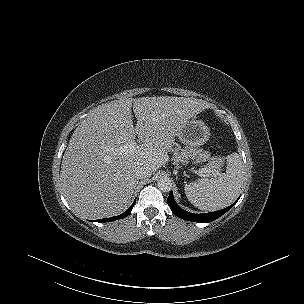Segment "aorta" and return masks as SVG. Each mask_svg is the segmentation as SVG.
Here are the masks:
<instances>
[{
	"label": "aorta",
	"instance_id": "1",
	"mask_svg": "<svg viewBox=\"0 0 304 304\" xmlns=\"http://www.w3.org/2000/svg\"><path fill=\"white\" fill-rule=\"evenodd\" d=\"M157 186L161 191L169 192L172 189V181L167 176H161L157 181Z\"/></svg>",
	"mask_w": 304,
	"mask_h": 304
}]
</instances>
